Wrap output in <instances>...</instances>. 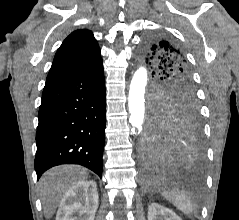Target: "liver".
Here are the masks:
<instances>
[{
	"label": "liver",
	"mask_w": 239,
	"mask_h": 220,
	"mask_svg": "<svg viewBox=\"0 0 239 220\" xmlns=\"http://www.w3.org/2000/svg\"><path fill=\"white\" fill-rule=\"evenodd\" d=\"M87 178V170L74 165L58 166L44 173L39 181V190L45 217L50 219L65 194Z\"/></svg>",
	"instance_id": "liver-1"
}]
</instances>
